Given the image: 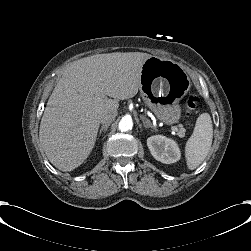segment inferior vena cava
<instances>
[{
  "mask_svg": "<svg viewBox=\"0 0 251 251\" xmlns=\"http://www.w3.org/2000/svg\"><path fill=\"white\" fill-rule=\"evenodd\" d=\"M112 122V119L109 117H105L103 119H101V123L103 124H110Z\"/></svg>",
  "mask_w": 251,
  "mask_h": 251,
  "instance_id": "inferior-vena-cava-1",
  "label": "inferior vena cava"
}]
</instances>
